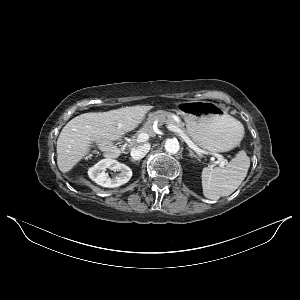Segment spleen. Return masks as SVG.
I'll list each match as a JSON object with an SVG mask.
<instances>
[{"instance_id": "3e777b00", "label": "spleen", "mask_w": 300, "mask_h": 300, "mask_svg": "<svg viewBox=\"0 0 300 300\" xmlns=\"http://www.w3.org/2000/svg\"><path fill=\"white\" fill-rule=\"evenodd\" d=\"M234 120L243 134V125ZM249 167L250 158L241 150L225 167L203 168L201 177L204 196L212 200L229 196L241 185Z\"/></svg>"}]
</instances>
